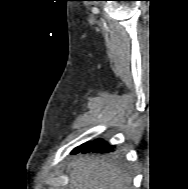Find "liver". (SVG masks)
<instances>
[{
	"label": "liver",
	"mask_w": 188,
	"mask_h": 189,
	"mask_svg": "<svg viewBox=\"0 0 188 189\" xmlns=\"http://www.w3.org/2000/svg\"><path fill=\"white\" fill-rule=\"evenodd\" d=\"M70 189H131V178L117 165L90 157L70 164Z\"/></svg>",
	"instance_id": "obj_1"
}]
</instances>
